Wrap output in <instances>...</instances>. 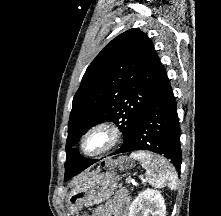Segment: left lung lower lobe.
Instances as JSON below:
<instances>
[{"instance_id": "1", "label": "left lung lower lobe", "mask_w": 221, "mask_h": 216, "mask_svg": "<svg viewBox=\"0 0 221 216\" xmlns=\"http://www.w3.org/2000/svg\"><path fill=\"white\" fill-rule=\"evenodd\" d=\"M137 150H149L161 154L170 159L180 171L182 157L177 105L162 66L158 69L149 105L137 123L133 137L111 155ZM96 161L86 159L83 170Z\"/></svg>"}]
</instances>
